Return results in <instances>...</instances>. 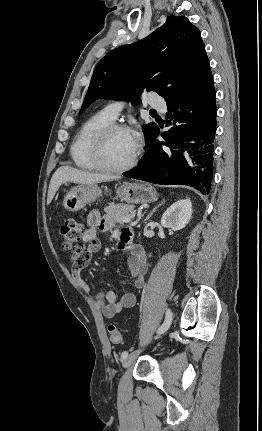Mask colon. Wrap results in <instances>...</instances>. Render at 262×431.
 Returning a JSON list of instances; mask_svg holds the SVG:
<instances>
[{
  "instance_id": "1",
  "label": "colon",
  "mask_w": 262,
  "mask_h": 431,
  "mask_svg": "<svg viewBox=\"0 0 262 431\" xmlns=\"http://www.w3.org/2000/svg\"><path fill=\"white\" fill-rule=\"evenodd\" d=\"M84 234L85 227L83 223L74 220L66 221L61 227L62 246L66 250L72 251L75 255L81 254L90 246V243L83 242ZM108 338L110 342L115 344L121 341V335L116 326H108Z\"/></svg>"
}]
</instances>
